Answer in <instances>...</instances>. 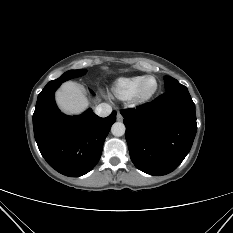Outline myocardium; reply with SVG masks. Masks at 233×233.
I'll return each instance as SVG.
<instances>
[{
	"label": "myocardium",
	"instance_id": "1",
	"mask_svg": "<svg viewBox=\"0 0 233 233\" xmlns=\"http://www.w3.org/2000/svg\"><path fill=\"white\" fill-rule=\"evenodd\" d=\"M150 79L155 81V88L149 94H144L143 93L144 84ZM158 89H159V83L157 79L154 76H145L143 80L140 82V84L138 85L133 97L131 98L132 103L135 106H142V105L147 104L156 95V93L158 92Z\"/></svg>",
	"mask_w": 233,
	"mask_h": 233
}]
</instances>
